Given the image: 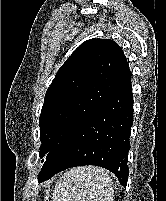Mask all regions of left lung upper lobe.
Instances as JSON below:
<instances>
[{
	"label": "left lung upper lobe",
	"mask_w": 166,
	"mask_h": 201,
	"mask_svg": "<svg viewBox=\"0 0 166 201\" xmlns=\"http://www.w3.org/2000/svg\"><path fill=\"white\" fill-rule=\"evenodd\" d=\"M113 40L83 42L58 70L39 117L40 158L49 157L107 99L129 73Z\"/></svg>",
	"instance_id": "5c2ea615"
}]
</instances>
